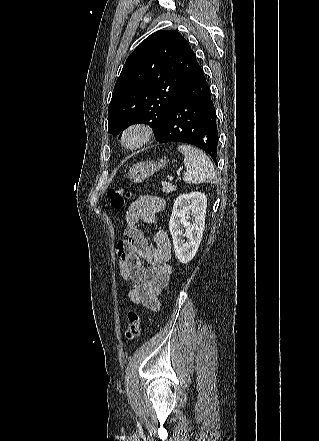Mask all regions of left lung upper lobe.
<instances>
[{
  "label": "left lung upper lobe",
  "instance_id": "left-lung-upper-lobe-1",
  "mask_svg": "<svg viewBox=\"0 0 319 441\" xmlns=\"http://www.w3.org/2000/svg\"><path fill=\"white\" fill-rule=\"evenodd\" d=\"M198 67L195 53L178 31L151 34L129 55L116 81L108 108V132L116 136L132 124L144 123L157 137Z\"/></svg>",
  "mask_w": 319,
  "mask_h": 441
}]
</instances>
